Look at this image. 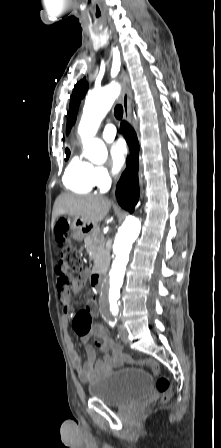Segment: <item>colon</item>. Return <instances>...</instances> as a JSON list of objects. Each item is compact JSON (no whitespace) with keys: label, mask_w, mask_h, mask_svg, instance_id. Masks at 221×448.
Listing matches in <instances>:
<instances>
[{"label":"colon","mask_w":221,"mask_h":448,"mask_svg":"<svg viewBox=\"0 0 221 448\" xmlns=\"http://www.w3.org/2000/svg\"><path fill=\"white\" fill-rule=\"evenodd\" d=\"M57 238L65 244L61 257L57 264L56 280L58 290H64L71 285L70 275L76 272L80 268L78 255L75 249L70 245L71 234L67 221L60 220L55 228ZM94 304L90 300V308H93ZM89 327V325H88ZM87 327V328H88ZM124 362L128 364H134L139 366H147L151 369L154 375H158L159 366L153 360H141L134 358L130 355L123 356ZM155 387L161 397V401L166 403L171 399V383L165 376L157 378Z\"/></svg>","instance_id":"colon-1"}]
</instances>
